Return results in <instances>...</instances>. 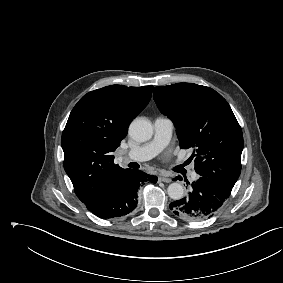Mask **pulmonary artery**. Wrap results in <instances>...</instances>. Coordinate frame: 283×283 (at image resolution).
<instances>
[{"label":"pulmonary artery","instance_id":"pulmonary-artery-1","mask_svg":"<svg viewBox=\"0 0 283 283\" xmlns=\"http://www.w3.org/2000/svg\"><path fill=\"white\" fill-rule=\"evenodd\" d=\"M173 131V122L166 117H158L154 121V137L151 141L128 151L124 160L145 161L153 158L161 152L169 143ZM192 179L197 175L193 172Z\"/></svg>","mask_w":283,"mask_h":283}]
</instances>
